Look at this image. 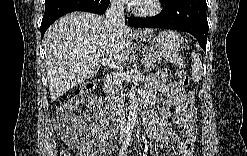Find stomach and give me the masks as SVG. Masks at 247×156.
I'll return each instance as SVG.
<instances>
[{
	"label": "stomach",
	"instance_id": "stomach-1",
	"mask_svg": "<svg viewBox=\"0 0 247 156\" xmlns=\"http://www.w3.org/2000/svg\"><path fill=\"white\" fill-rule=\"evenodd\" d=\"M141 40L164 53L178 51L184 45L183 36L176 31H162L155 35H142Z\"/></svg>",
	"mask_w": 247,
	"mask_h": 156
}]
</instances>
